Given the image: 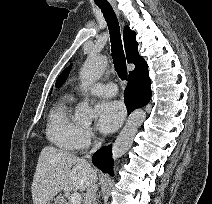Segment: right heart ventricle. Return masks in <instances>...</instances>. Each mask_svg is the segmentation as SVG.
<instances>
[{
	"label": "right heart ventricle",
	"instance_id": "1",
	"mask_svg": "<svg viewBox=\"0 0 212 204\" xmlns=\"http://www.w3.org/2000/svg\"><path fill=\"white\" fill-rule=\"evenodd\" d=\"M81 128L72 115L71 98L64 97L53 106L49 113L46 136L58 148L75 151Z\"/></svg>",
	"mask_w": 212,
	"mask_h": 204
}]
</instances>
